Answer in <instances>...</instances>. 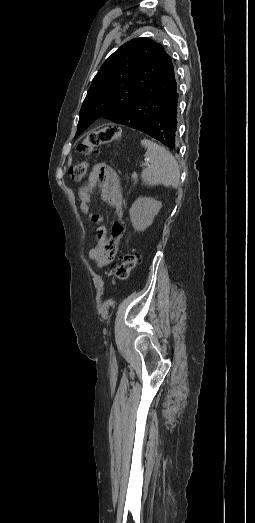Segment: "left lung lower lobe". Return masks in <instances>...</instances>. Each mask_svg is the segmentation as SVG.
<instances>
[{"instance_id":"obj_1","label":"left lung lower lobe","mask_w":255,"mask_h":523,"mask_svg":"<svg viewBox=\"0 0 255 523\" xmlns=\"http://www.w3.org/2000/svg\"><path fill=\"white\" fill-rule=\"evenodd\" d=\"M179 94H174L171 102L167 103L161 112L163 115H153L155 121H150L141 127H135V129H141L145 131V135L150 134L151 137L158 140L159 145L168 147L171 151L178 149L176 143L177 137V108L180 104Z\"/></svg>"}]
</instances>
